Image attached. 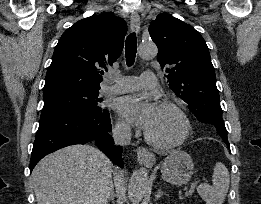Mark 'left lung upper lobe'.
<instances>
[{"label":"left lung upper lobe","instance_id":"left-lung-upper-lobe-1","mask_svg":"<svg viewBox=\"0 0 261 204\" xmlns=\"http://www.w3.org/2000/svg\"><path fill=\"white\" fill-rule=\"evenodd\" d=\"M158 47L157 60L166 68L169 87L200 122L216 127L227 138L215 70L205 40L191 25L162 13L149 26Z\"/></svg>","mask_w":261,"mask_h":204}]
</instances>
